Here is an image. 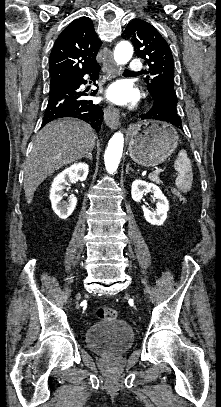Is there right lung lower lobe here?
Returning a JSON list of instances; mask_svg holds the SVG:
<instances>
[{
	"instance_id": "obj_1",
	"label": "right lung lower lobe",
	"mask_w": 221,
	"mask_h": 407,
	"mask_svg": "<svg viewBox=\"0 0 221 407\" xmlns=\"http://www.w3.org/2000/svg\"><path fill=\"white\" fill-rule=\"evenodd\" d=\"M100 69L98 65L93 70L72 80L50 87L49 101L43 117L42 127L57 118L74 117L84 120L99 131L103 121L102 106L93 104L92 100L85 98L88 95L94 96L97 90L87 94L86 90L82 91L79 87L87 83L83 78L85 74H89L93 81L97 80Z\"/></svg>"
}]
</instances>
